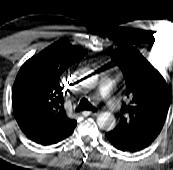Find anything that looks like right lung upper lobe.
Returning <instances> with one entry per match:
<instances>
[{"label": "right lung upper lobe", "instance_id": "right-lung-upper-lobe-1", "mask_svg": "<svg viewBox=\"0 0 173 170\" xmlns=\"http://www.w3.org/2000/svg\"><path fill=\"white\" fill-rule=\"evenodd\" d=\"M86 51L57 41L20 68L12 89L16 121L32 141L48 145L72 132L77 122L64 109L61 77Z\"/></svg>", "mask_w": 173, "mask_h": 170}]
</instances>
